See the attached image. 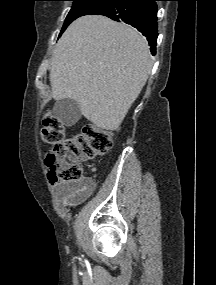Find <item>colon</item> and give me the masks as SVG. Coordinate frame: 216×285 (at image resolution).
<instances>
[{"label":"colon","instance_id":"obj_1","mask_svg":"<svg viewBox=\"0 0 216 285\" xmlns=\"http://www.w3.org/2000/svg\"><path fill=\"white\" fill-rule=\"evenodd\" d=\"M42 139L52 146L46 157L52 183H73L82 179L81 163L106 154L113 135L94 125H86L77 135L66 137L63 124L53 115L43 119Z\"/></svg>","mask_w":216,"mask_h":285}]
</instances>
